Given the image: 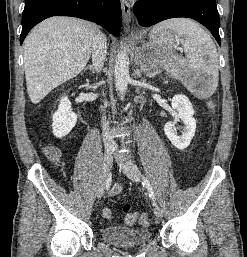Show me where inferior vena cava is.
Returning a JSON list of instances; mask_svg holds the SVG:
<instances>
[{
	"instance_id": "inferior-vena-cava-1",
	"label": "inferior vena cava",
	"mask_w": 247,
	"mask_h": 257,
	"mask_svg": "<svg viewBox=\"0 0 247 257\" xmlns=\"http://www.w3.org/2000/svg\"><path fill=\"white\" fill-rule=\"evenodd\" d=\"M107 53V40L104 34L98 33L94 39L92 45V61L95 70L99 71L102 69L104 61L106 59ZM102 136L103 142L106 148H111L115 146V142L109 131V125L105 120V117L102 118Z\"/></svg>"
}]
</instances>
